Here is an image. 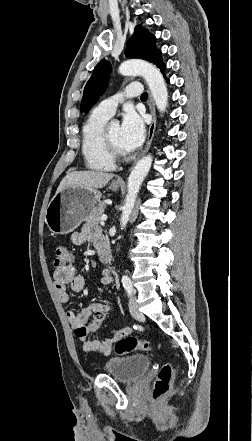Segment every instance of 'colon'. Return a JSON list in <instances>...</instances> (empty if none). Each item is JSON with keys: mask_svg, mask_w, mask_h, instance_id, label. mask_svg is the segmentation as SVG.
<instances>
[{"mask_svg": "<svg viewBox=\"0 0 252 441\" xmlns=\"http://www.w3.org/2000/svg\"><path fill=\"white\" fill-rule=\"evenodd\" d=\"M72 261V253L65 245H58L55 250V267L59 268L70 264ZM110 308L96 311L90 324L83 326L75 331V335L79 340L87 338L91 333L103 327L107 313ZM152 344L147 340H139L133 336H126L117 341L115 351L120 355L130 352L150 351ZM174 368L171 363H165L158 372L157 378L153 386V397L156 400L163 398L171 389Z\"/></svg>", "mask_w": 252, "mask_h": 441, "instance_id": "colon-1", "label": "colon"}]
</instances>
